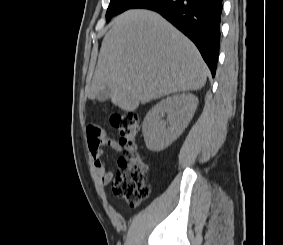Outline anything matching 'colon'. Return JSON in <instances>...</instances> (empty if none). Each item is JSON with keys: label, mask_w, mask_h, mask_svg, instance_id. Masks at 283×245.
<instances>
[{"label": "colon", "mask_w": 283, "mask_h": 245, "mask_svg": "<svg viewBox=\"0 0 283 245\" xmlns=\"http://www.w3.org/2000/svg\"><path fill=\"white\" fill-rule=\"evenodd\" d=\"M110 123L118 132L124 148L118 160L119 169L112 182V191L130 207L137 208L150 195L146 178L148 166L135 144L139 118L133 111H120L111 115Z\"/></svg>", "instance_id": "obj_1"}]
</instances>
